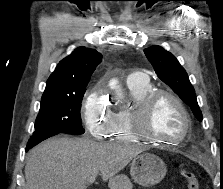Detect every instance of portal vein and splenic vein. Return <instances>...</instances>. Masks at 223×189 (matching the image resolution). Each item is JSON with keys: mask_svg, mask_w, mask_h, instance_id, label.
Returning a JSON list of instances; mask_svg holds the SVG:
<instances>
[{"mask_svg": "<svg viewBox=\"0 0 223 189\" xmlns=\"http://www.w3.org/2000/svg\"><path fill=\"white\" fill-rule=\"evenodd\" d=\"M96 180V176H92L88 179V183H93Z\"/></svg>", "mask_w": 223, "mask_h": 189, "instance_id": "18ae733b", "label": "portal vein and splenic vein"}]
</instances>
